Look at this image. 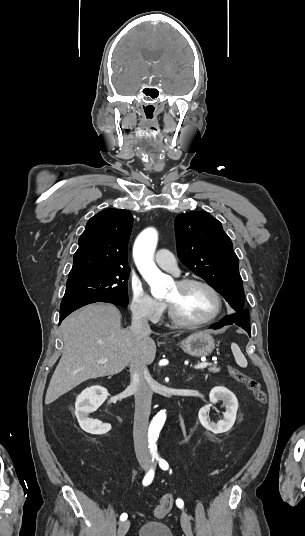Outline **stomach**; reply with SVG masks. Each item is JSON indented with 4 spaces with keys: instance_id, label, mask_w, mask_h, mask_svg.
I'll use <instances>...</instances> for the list:
<instances>
[{
    "instance_id": "stomach-1",
    "label": "stomach",
    "mask_w": 305,
    "mask_h": 536,
    "mask_svg": "<svg viewBox=\"0 0 305 536\" xmlns=\"http://www.w3.org/2000/svg\"><path fill=\"white\" fill-rule=\"evenodd\" d=\"M180 346L186 354L196 356V358H203V356L212 354L215 342L209 332H195V334L188 336L186 340H182Z\"/></svg>"
}]
</instances>
